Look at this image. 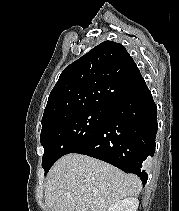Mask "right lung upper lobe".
I'll return each instance as SVG.
<instances>
[{"label": "right lung upper lobe", "mask_w": 179, "mask_h": 211, "mask_svg": "<svg viewBox=\"0 0 179 211\" xmlns=\"http://www.w3.org/2000/svg\"><path fill=\"white\" fill-rule=\"evenodd\" d=\"M143 81L125 47L104 41L63 70L49 95L42 128L78 111L111 109Z\"/></svg>", "instance_id": "cb5924a9"}]
</instances>
